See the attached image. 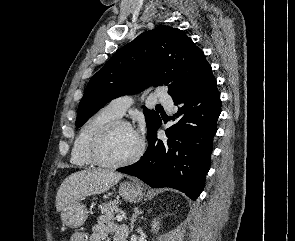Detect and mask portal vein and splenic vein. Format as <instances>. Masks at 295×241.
I'll use <instances>...</instances> for the list:
<instances>
[{"label":"portal vein and splenic vein","mask_w":295,"mask_h":241,"mask_svg":"<svg viewBox=\"0 0 295 241\" xmlns=\"http://www.w3.org/2000/svg\"><path fill=\"white\" fill-rule=\"evenodd\" d=\"M116 220L119 221V222H121L123 220V217L121 215H117L116 216Z\"/></svg>","instance_id":"portal-vein-and-splenic-vein-1"}]
</instances>
